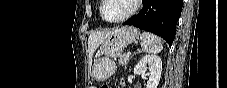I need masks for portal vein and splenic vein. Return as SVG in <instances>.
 Masks as SVG:
<instances>
[{
    "instance_id": "18ae733b",
    "label": "portal vein and splenic vein",
    "mask_w": 227,
    "mask_h": 88,
    "mask_svg": "<svg viewBox=\"0 0 227 88\" xmlns=\"http://www.w3.org/2000/svg\"><path fill=\"white\" fill-rule=\"evenodd\" d=\"M126 54H127V56H130V55H131V52H130V51H128Z\"/></svg>"
}]
</instances>
